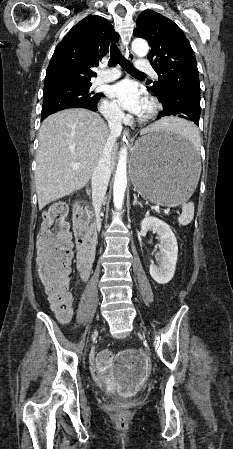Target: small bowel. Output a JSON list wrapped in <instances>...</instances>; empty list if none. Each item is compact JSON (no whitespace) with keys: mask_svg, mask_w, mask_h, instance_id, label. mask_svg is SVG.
<instances>
[{"mask_svg":"<svg viewBox=\"0 0 233 449\" xmlns=\"http://www.w3.org/2000/svg\"><path fill=\"white\" fill-rule=\"evenodd\" d=\"M83 281L90 279L88 272L81 274ZM66 321L68 317H61ZM113 354L100 351L94 356V366L100 372L106 371L108 390L111 394H119L120 399H131L136 390L141 389L142 377H146L150 366V355L141 354V347H124V354Z\"/></svg>","mask_w":233,"mask_h":449,"instance_id":"small-bowel-1","label":"small bowel"}]
</instances>
